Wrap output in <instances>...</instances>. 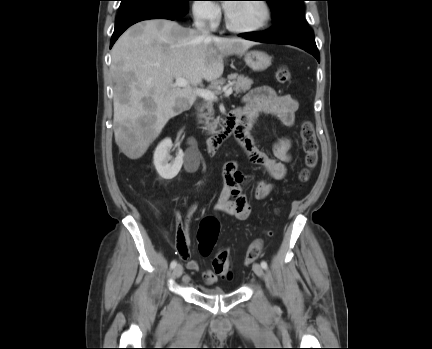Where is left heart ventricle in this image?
Wrapping results in <instances>:
<instances>
[{"label":"left heart ventricle","mask_w":432,"mask_h":349,"mask_svg":"<svg viewBox=\"0 0 432 349\" xmlns=\"http://www.w3.org/2000/svg\"><path fill=\"white\" fill-rule=\"evenodd\" d=\"M232 23L239 27L258 25L264 18V9L260 2L232 3L228 10Z\"/></svg>","instance_id":"b2bd125f"}]
</instances>
